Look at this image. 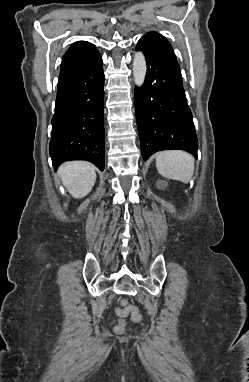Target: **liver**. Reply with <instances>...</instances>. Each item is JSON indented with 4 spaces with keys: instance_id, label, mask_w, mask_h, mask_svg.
Listing matches in <instances>:
<instances>
[{
    "instance_id": "1",
    "label": "liver",
    "mask_w": 249,
    "mask_h": 382,
    "mask_svg": "<svg viewBox=\"0 0 249 382\" xmlns=\"http://www.w3.org/2000/svg\"><path fill=\"white\" fill-rule=\"evenodd\" d=\"M58 174L74 198L89 194L96 181L94 165L85 161L66 162L59 167Z\"/></svg>"
}]
</instances>
